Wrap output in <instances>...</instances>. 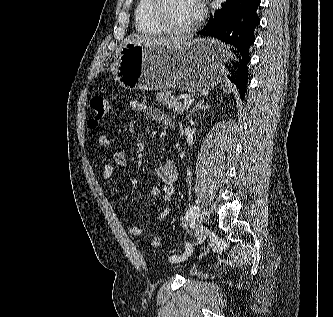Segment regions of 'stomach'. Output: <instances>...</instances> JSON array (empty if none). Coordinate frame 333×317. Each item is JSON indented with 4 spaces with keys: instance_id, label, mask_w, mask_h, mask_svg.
I'll return each mask as SVG.
<instances>
[{
    "instance_id": "0dacf381",
    "label": "stomach",
    "mask_w": 333,
    "mask_h": 317,
    "mask_svg": "<svg viewBox=\"0 0 333 317\" xmlns=\"http://www.w3.org/2000/svg\"><path fill=\"white\" fill-rule=\"evenodd\" d=\"M219 62H232L231 49L210 39H192L178 48L127 43L110 71L129 90L180 87L195 92L230 87Z\"/></svg>"
}]
</instances>
